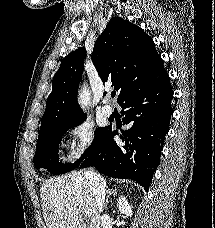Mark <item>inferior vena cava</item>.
<instances>
[{
    "mask_svg": "<svg viewBox=\"0 0 215 228\" xmlns=\"http://www.w3.org/2000/svg\"><path fill=\"white\" fill-rule=\"evenodd\" d=\"M87 180L90 182V188L95 196L96 206L99 212H103L105 206V198L107 194V184L100 174H96L93 170L84 172Z\"/></svg>",
    "mask_w": 215,
    "mask_h": 228,
    "instance_id": "602c4592",
    "label": "inferior vena cava"
}]
</instances>
